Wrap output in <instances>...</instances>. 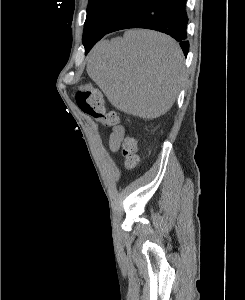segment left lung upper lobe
I'll return each mask as SVG.
<instances>
[{
    "label": "left lung upper lobe",
    "mask_w": 245,
    "mask_h": 300,
    "mask_svg": "<svg viewBox=\"0 0 245 300\" xmlns=\"http://www.w3.org/2000/svg\"><path fill=\"white\" fill-rule=\"evenodd\" d=\"M138 0H89L82 42L93 32L105 33L111 24Z\"/></svg>",
    "instance_id": "left-lung-upper-lobe-1"
}]
</instances>
